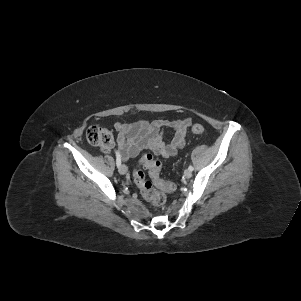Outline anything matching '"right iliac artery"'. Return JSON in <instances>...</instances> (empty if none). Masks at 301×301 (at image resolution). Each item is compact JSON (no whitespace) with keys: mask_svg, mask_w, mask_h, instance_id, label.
<instances>
[{"mask_svg":"<svg viewBox=\"0 0 301 301\" xmlns=\"http://www.w3.org/2000/svg\"><path fill=\"white\" fill-rule=\"evenodd\" d=\"M115 153H116V164L117 167H119L121 165V156L118 151H116Z\"/></svg>","mask_w":301,"mask_h":301,"instance_id":"right-iliac-artery-1","label":"right iliac artery"}]
</instances>
